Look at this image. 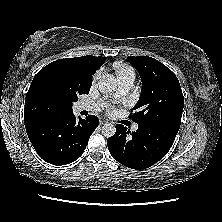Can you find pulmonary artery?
Listing matches in <instances>:
<instances>
[{
  "instance_id": "pulmonary-artery-1",
  "label": "pulmonary artery",
  "mask_w": 222,
  "mask_h": 222,
  "mask_svg": "<svg viewBox=\"0 0 222 222\" xmlns=\"http://www.w3.org/2000/svg\"><path fill=\"white\" fill-rule=\"evenodd\" d=\"M133 86V80L132 79H126L118 82V91L116 93V96L118 98L124 97L132 88ZM102 107V104L100 103H94V102H81L78 104L77 108L79 111H98ZM138 129L137 125H134L132 127L133 131H136Z\"/></svg>"
}]
</instances>
